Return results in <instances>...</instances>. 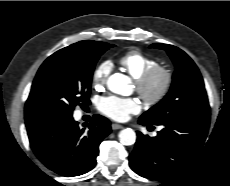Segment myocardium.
Segmentation results:
<instances>
[{"label": "myocardium", "instance_id": "obj_1", "mask_svg": "<svg viewBox=\"0 0 230 186\" xmlns=\"http://www.w3.org/2000/svg\"><path fill=\"white\" fill-rule=\"evenodd\" d=\"M161 85L157 91H152V85L157 80ZM173 84V72L166 66L156 65L145 71L136 79V90L141 98L150 105L161 102L169 93Z\"/></svg>", "mask_w": 230, "mask_h": 186}]
</instances>
